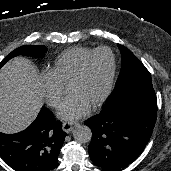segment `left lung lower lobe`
Segmentation results:
<instances>
[{
  "label": "left lung lower lobe",
  "mask_w": 171,
  "mask_h": 171,
  "mask_svg": "<svg viewBox=\"0 0 171 171\" xmlns=\"http://www.w3.org/2000/svg\"><path fill=\"white\" fill-rule=\"evenodd\" d=\"M156 117L155 94L131 93L85 121L92 130L88 150L93 163L106 170L131 164L148 143Z\"/></svg>",
  "instance_id": "0a47b994"
}]
</instances>
